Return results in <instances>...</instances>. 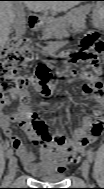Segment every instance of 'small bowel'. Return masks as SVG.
<instances>
[{"instance_id": "c3829d8e", "label": "small bowel", "mask_w": 104, "mask_h": 189, "mask_svg": "<svg viewBox=\"0 0 104 189\" xmlns=\"http://www.w3.org/2000/svg\"><path fill=\"white\" fill-rule=\"evenodd\" d=\"M79 79L84 82L82 94L85 97H92L97 104V108L93 117L84 119L82 126L74 131L72 138H68L63 134H50V138L47 140L41 138L32 124L35 120H42V118L34 112L32 98L26 91L19 93L21 102L15 113L7 114L4 111L0 113L1 127L9 139L11 147L15 149L25 169L35 176L43 171L59 170L64 172L68 166L79 161L84 149L96 141L102 133V83L99 77L91 72H83ZM8 105L9 99L2 97L0 99L1 108L3 109ZM41 111H46L44 105H41ZM14 123L19 124L29 138L40 145L38 162L35 153L30 151L14 132L12 128Z\"/></svg>"}]
</instances>
